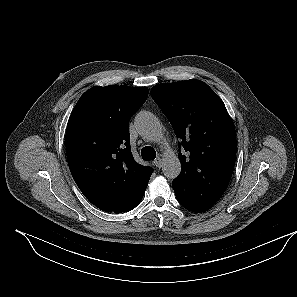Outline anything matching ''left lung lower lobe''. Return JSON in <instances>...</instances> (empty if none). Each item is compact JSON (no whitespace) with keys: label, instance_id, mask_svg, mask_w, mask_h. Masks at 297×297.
<instances>
[{"label":"left lung lower lobe","instance_id":"left-lung-lower-lobe-1","mask_svg":"<svg viewBox=\"0 0 297 297\" xmlns=\"http://www.w3.org/2000/svg\"><path fill=\"white\" fill-rule=\"evenodd\" d=\"M172 187H173V189L175 191V195H176L177 200H179V196L177 194V183L176 182H172ZM204 211H207V210H201V211L193 210V212H196V213H201V212H204Z\"/></svg>","mask_w":297,"mask_h":297}]
</instances>
